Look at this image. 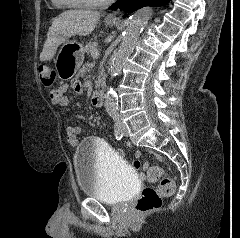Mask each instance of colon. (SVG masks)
<instances>
[{
	"label": "colon",
	"mask_w": 240,
	"mask_h": 238,
	"mask_svg": "<svg viewBox=\"0 0 240 238\" xmlns=\"http://www.w3.org/2000/svg\"><path fill=\"white\" fill-rule=\"evenodd\" d=\"M38 76L46 87L52 86L56 78L54 70L48 65L38 67ZM146 176L150 182L159 180V185L157 188L147 187L142 190L135 204V211L138 214H146L158 209L162 204V198L171 196L175 190L174 181L164 176L160 167L147 168Z\"/></svg>",
	"instance_id": "colon-1"
}]
</instances>
